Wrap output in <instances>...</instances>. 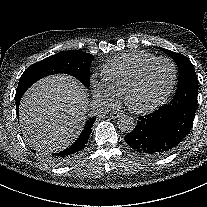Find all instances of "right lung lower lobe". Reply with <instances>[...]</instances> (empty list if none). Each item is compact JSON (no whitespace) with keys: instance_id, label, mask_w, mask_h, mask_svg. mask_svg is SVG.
Listing matches in <instances>:
<instances>
[{"instance_id":"right-lung-lower-lobe-1","label":"right lung lower lobe","mask_w":207,"mask_h":207,"mask_svg":"<svg viewBox=\"0 0 207 207\" xmlns=\"http://www.w3.org/2000/svg\"><path fill=\"white\" fill-rule=\"evenodd\" d=\"M23 96V95H22ZM21 96V97H22ZM20 98H16V114L18 117V111H19V103ZM95 121V118L88 121L84 127V130L82 131L80 137L74 142L72 146H70L68 149L63 150L62 152L54 153L51 155H46L44 158L50 162L51 164H64L71 160V158L78 155L81 150L84 148L85 144L88 141V137L91 133L92 125ZM33 153H36L35 150H31Z\"/></svg>"}]
</instances>
